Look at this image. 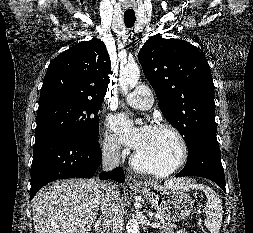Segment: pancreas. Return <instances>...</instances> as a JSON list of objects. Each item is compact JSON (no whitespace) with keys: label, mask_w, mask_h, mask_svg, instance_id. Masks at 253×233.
Masks as SVG:
<instances>
[{"label":"pancreas","mask_w":253,"mask_h":233,"mask_svg":"<svg viewBox=\"0 0 253 233\" xmlns=\"http://www.w3.org/2000/svg\"><path fill=\"white\" fill-rule=\"evenodd\" d=\"M175 229H176L175 224L165 223L159 227V232L160 233H174Z\"/></svg>","instance_id":"obj_1"}]
</instances>
